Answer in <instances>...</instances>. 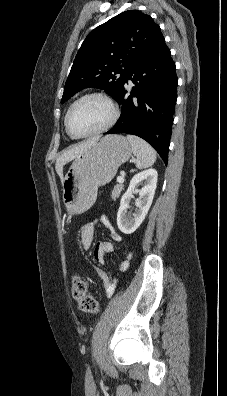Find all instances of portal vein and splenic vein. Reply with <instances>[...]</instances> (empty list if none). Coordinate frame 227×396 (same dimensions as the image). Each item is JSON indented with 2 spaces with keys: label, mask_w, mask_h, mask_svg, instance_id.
Listing matches in <instances>:
<instances>
[{
  "label": "portal vein and splenic vein",
  "mask_w": 227,
  "mask_h": 396,
  "mask_svg": "<svg viewBox=\"0 0 227 396\" xmlns=\"http://www.w3.org/2000/svg\"><path fill=\"white\" fill-rule=\"evenodd\" d=\"M117 182H119V183L124 182V172H122L121 175L117 177Z\"/></svg>",
  "instance_id": "1"
}]
</instances>
